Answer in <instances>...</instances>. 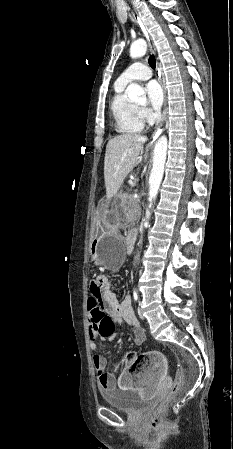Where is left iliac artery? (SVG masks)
I'll list each match as a JSON object with an SVG mask.
<instances>
[{
	"instance_id": "obj_1",
	"label": "left iliac artery",
	"mask_w": 233,
	"mask_h": 449,
	"mask_svg": "<svg viewBox=\"0 0 233 449\" xmlns=\"http://www.w3.org/2000/svg\"><path fill=\"white\" fill-rule=\"evenodd\" d=\"M133 296H134V299H135V300H137V299H138V295H137V292H136V290H134V292H133Z\"/></svg>"
}]
</instances>
